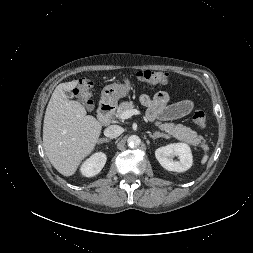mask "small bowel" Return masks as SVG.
<instances>
[{
	"instance_id": "c3829d8e",
	"label": "small bowel",
	"mask_w": 253,
	"mask_h": 253,
	"mask_svg": "<svg viewBox=\"0 0 253 253\" xmlns=\"http://www.w3.org/2000/svg\"><path fill=\"white\" fill-rule=\"evenodd\" d=\"M169 93L160 91L153 97L142 95L141 103L147 108V116L150 120H174L188 115L193 109V102L183 100L175 104L169 103Z\"/></svg>"
}]
</instances>
